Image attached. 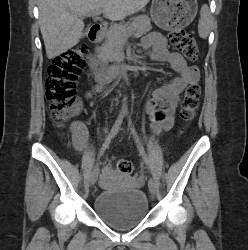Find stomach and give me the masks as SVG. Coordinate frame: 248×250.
Masks as SVG:
<instances>
[{
    "label": "stomach",
    "instance_id": "stomach-1",
    "mask_svg": "<svg viewBox=\"0 0 248 250\" xmlns=\"http://www.w3.org/2000/svg\"><path fill=\"white\" fill-rule=\"evenodd\" d=\"M197 10V0H152L150 16L159 28L175 30L188 26Z\"/></svg>",
    "mask_w": 248,
    "mask_h": 250
}]
</instances>
